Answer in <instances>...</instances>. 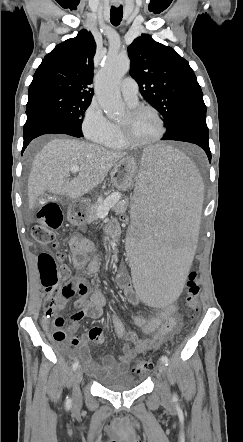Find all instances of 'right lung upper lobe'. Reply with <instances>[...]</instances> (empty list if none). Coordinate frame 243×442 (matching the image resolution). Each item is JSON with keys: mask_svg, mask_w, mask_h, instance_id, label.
<instances>
[{"mask_svg": "<svg viewBox=\"0 0 243 442\" xmlns=\"http://www.w3.org/2000/svg\"><path fill=\"white\" fill-rule=\"evenodd\" d=\"M95 49L94 38L87 30L57 45L37 68L28 96L60 92L92 100Z\"/></svg>", "mask_w": 243, "mask_h": 442, "instance_id": "1", "label": "right lung upper lobe"}]
</instances>
